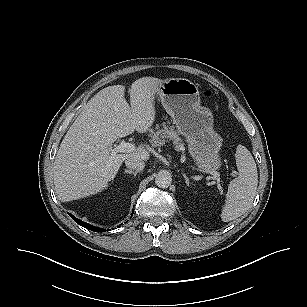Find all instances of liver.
Returning a JSON list of instances; mask_svg holds the SVG:
<instances>
[{
    "label": "liver",
    "mask_w": 307,
    "mask_h": 307,
    "mask_svg": "<svg viewBox=\"0 0 307 307\" xmlns=\"http://www.w3.org/2000/svg\"><path fill=\"white\" fill-rule=\"evenodd\" d=\"M162 80L143 77L132 83L130 103L123 85L99 91L85 105L64 136L55 157L53 173L58 198L63 202L96 194L113 180L131 157L143 161L150 154L143 145L130 153L112 155L118 139L135 130L145 133L155 120L154 98Z\"/></svg>",
    "instance_id": "1"
}]
</instances>
